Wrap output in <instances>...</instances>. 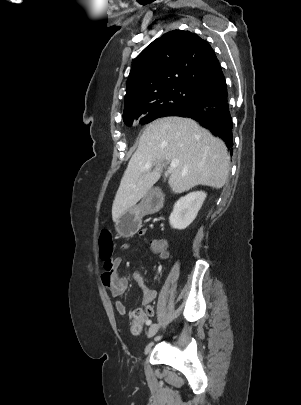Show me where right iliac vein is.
<instances>
[{
	"label": "right iliac vein",
	"instance_id": "1",
	"mask_svg": "<svg viewBox=\"0 0 301 405\" xmlns=\"http://www.w3.org/2000/svg\"><path fill=\"white\" fill-rule=\"evenodd\" d=\"M158 330H159V325L158 324H153V325H151L150 327H149V330H148V332H147V336L150 338V337H153L157 332H158Z\"/></svg>",
	"mask_w": 301,
	"mask_h": 405
}]
</instances>
